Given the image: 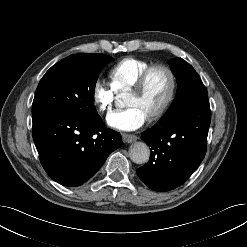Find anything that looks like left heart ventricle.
<instances>
[{"instance_id":"b2bd125f","label":"left heart ventricle","mask_w":247,"mask_h":247,"mask_svg":"<svg viewBox=\"0 0 247 247\" xmlns=\"http://www.w3.org/2000/svg\"><path fill=\"white\" fill-rule=\"evenodd\" d=\"M169 84V77L165 71H154L141 93H129L127 106H138L149 117L165 100L169 90Z\"/></svg>"}]
</instances>
